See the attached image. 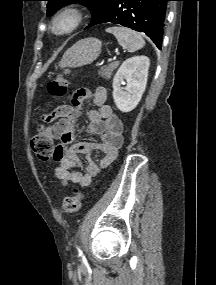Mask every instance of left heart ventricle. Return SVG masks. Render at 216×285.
Returning <instances> with one entry per match:
<instances>
[{"instance_id":"left-heart-ventricle-1","label":"left heart ventricle","mask_w":216,"mask_h":285,"mask_svg":"<svg viewBox=\"0 0 216 285\" xmlns=\"http://www.w3.org/2000/svg\"><path fill=\"white\" fill-rule=\"evenodd\" d=\"M68 25V21H63L62 23H60L59 28L63 29Z\"/></svg>"}]
</instances>
